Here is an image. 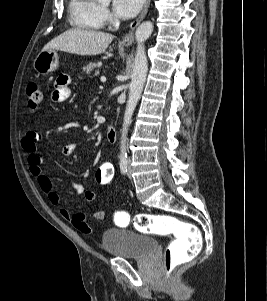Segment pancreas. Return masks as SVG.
<instances>
[{"label": "pancreas", "instance_id": "obj_1", "mask_svg": "<svg viewBox=\"0 0 267 301\" xmlns=\"http://www.w3.org/2000/svg\"><path fill=\"white\" fill-rule=\"evenodd\" d=\"M102 65L101 62H91L89 63V65H87L86 67H84V71L86 72L87 75H89L90 77L97 75L99 73V67Z\"/></svg>", "mask_w": 267, "mask_h": 301}]
</instances>
